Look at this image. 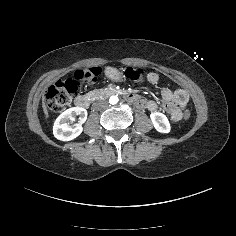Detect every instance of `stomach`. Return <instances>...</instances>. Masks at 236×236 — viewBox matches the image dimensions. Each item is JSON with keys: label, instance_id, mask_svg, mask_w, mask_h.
Wrapping results in <instances>:
<instances>
[{"label": "stomach", "instance_id": "stomach-1", "mask_svg": "<svg viewBox=\"0 0 236 236\" xmlns=\"http://www.w3.org/2000/svg\"><path fill=\"white\" fill-rule=\"evenodd\" d=\"M105 75L106 77H108L109 79L113 80V81H121L123 79V75L122 73L113 67H106L105 68Z\"/></svg>", "mask_w": 236, "mask_h": 236}]
</instances>
